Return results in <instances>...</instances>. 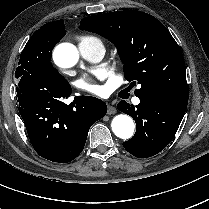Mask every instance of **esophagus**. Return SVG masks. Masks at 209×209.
Returning <instances> with one entry per match:
<instances>
[{"mask_svg":"<svg viewBox=\"0 0 209 209\" xmlns=\"http://www.w3.org/2000/svg\"><path fill=\"white\" fill-rule=\"evenodd\" d=\"M116 112H117V110L114 106L108 105L107 114L111 115V114H115Z\"/></svg>","mask_w":209,"mask_h":209,"instance_id":"obj_1","label":"esophagus"}]
</instances>
